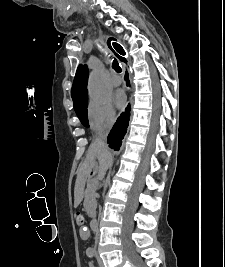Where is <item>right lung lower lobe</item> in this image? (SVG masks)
I'll return each mask as SVG.
<instances>
[{
    "instance_id": "right-lung-lower-lobe-1",
    "label": "right lung lower lobe",
    "mask_w": 225,
    "mask_h": 267,
    "mask_svg": "<svg viewBox=\"0 0 225 267\" xmlns=\"http://www.w3.org/2000/svg\"><path fill=\"white\" fill-rule=\"evenodd\" d=\"M127 81V85L129 84L128 75L125 76ZM130 108L127 107L126 112L118 118L117 123L115 124L114 128L110 132L108 136V143L110 148L118 150L121 145V139L123 137V128L128 125L129 116H130Z\"/></svg>"
}]
</instances>
